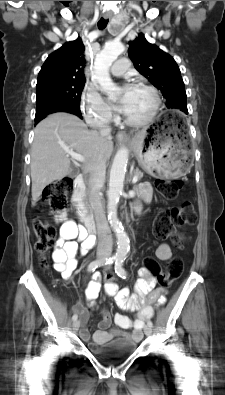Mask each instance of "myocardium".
<instances>
[{"instance_id":"f54148a6","label":"myocardium","mask_w":225,"mask_h":395,"mask_svg":"<svg viewBox=\"0 0 225 395\" xmlns=\"http://www.w3.org/2000/svg\"><path fill=\"white\" fill-rule=\"evenodd\" d=\"M136 88H143V89L147 90L152 95L153 105H152L151 111L144 119L131 120L126 117L124 119V122L127 125L132 126V127H142V126H145L153 121V119L155 118V116L157 115V113L159 111V108L161 105V99H160L157 89L150 84H147L144 82H139L136 84Z\"/></svg>"}]
</instances>
